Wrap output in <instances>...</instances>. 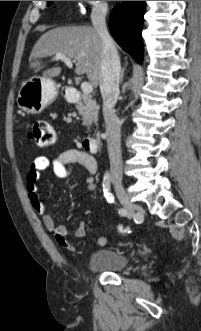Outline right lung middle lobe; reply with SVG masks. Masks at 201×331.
Returning <instances> with one entry per match:
<instances>
[{
    "instance_id": "right-lung-middle-lobe-1",
    "label": "right lung middle lobe",
    "mask_w": 201,
    "mask_h": 331,
    "mask_svg": "<svg viewBox=\"0 0 201 331\" xmlns=\"http://www.w3.org/2000/svg\"><path fill=\"white\" fill-rule=\"evenodd\" d=\"M52 3V1H48V5H50Z\"/></svg>"
}]
</instances>
